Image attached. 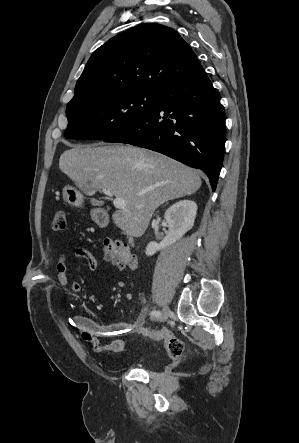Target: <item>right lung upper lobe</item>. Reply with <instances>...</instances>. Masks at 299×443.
<instances>
[{"mask_svg": "<svg viewBox=\"0 0 299 443\" xmlns=\"http://www.w3.org/2000/svg\"><path fill=\"white\" fill-rule=\"evenodd\" d=\"M202 70L193 50L175 30L140 24L94 51L69 103L111 91L158 92Z\"/></svg>", "mask_w": 299, "mask_h": 443, "instance_id": "right-lung-upper-lobe-1", "label": "right lung upper lobe"}]
</instances>
